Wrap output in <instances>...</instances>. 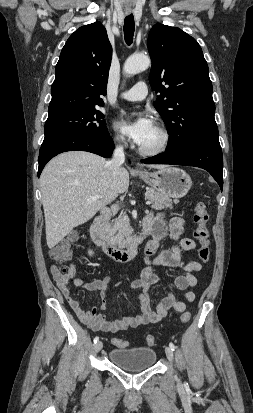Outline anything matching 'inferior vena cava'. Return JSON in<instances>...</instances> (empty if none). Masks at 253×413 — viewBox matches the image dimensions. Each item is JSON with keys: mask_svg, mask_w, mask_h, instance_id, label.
Segmentation results:
<instances>
[{"mask_svg": "<svg viewBox=\"0 0 253 413\" xmlns=\"http://www.w3.org/2000/svg\"><path fill=\"white\" fill-rule=\"evenodd\" d=\"M125 161L123 146H116L112 159L108 162V167L112 173H116L122 163Z\"/></svg>", "mask_w": 253, "mask_h": 413, "instance_id": "inferior-vena-cava-1", "label": "inferior vena cava"}]
</instances>
